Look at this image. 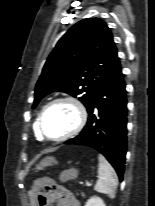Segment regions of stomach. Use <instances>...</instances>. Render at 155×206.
Masks as SVG:
<instances>
[{
  "label": "stomach",
  "mask_w": 155,
  "mask_h": 206,
  "mask_svg": "<svg viewBox=\"0 0 155 206\" xmlns=\"http://www.w3.org/2000/svg\"><path fill=\"white\" fill-rule=\"evenodd\" d=\"M54 163H56L54 157H46L40 162V164L38 165V169H43L44 167L51 166Z\"/></svg>",
  "instance_id": "obj_1"
}]
</instances>
